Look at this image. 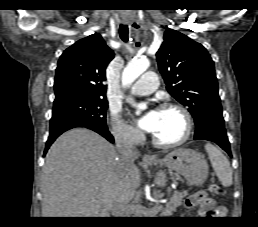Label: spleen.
<instances>
[{"mask_svg": "<svg viewBox=\"0 0 258 227\" xmlns=\"http://www.w3.org/2000/svg\"><path fill=\"white\" fill-rule=\"evenodd\" d=\"M205 150L217 177L224 187H229L233 183L232 168L230 162L223 153L214 145L207 143Z\"/></svg>", "mask_w": 258, "mask_h": 227, "instance_id": "obj_1", "label": "spleen"}]
</instances>
